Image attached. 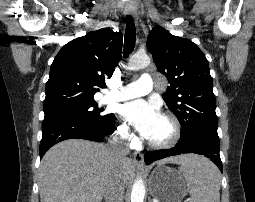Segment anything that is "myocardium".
I'll use <instances>...</instances> for the list:
<instances>
[{"mask_svg":"<svg viewBox=\"0 0 255 202\" xmlns=\"http://www.w3.org/2000/svg\"><path fill=\"white\" fill-rule=\"evenodd\" d=\"M161 117H163L169 122L171 126V135L168 139L163 141H153L146 138L145 141L147 145L154 149L171 148L174 145H176L181 138L182 129H181V124L179 120L177 119V117L170 112L162 113Z\"/></svg>","mask_w":255,"mask_h":202,"instance_id":"obj_1","label":"myocardium"}]
</instances>
